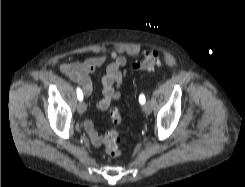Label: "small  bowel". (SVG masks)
Listing matches in <instances>:
<instances>
[{"mask_svg":"<svg viewBox=\"0 0 245 187\" xmlns=\"http://www.w3.org/2000/svg\"><path fill=\"white\" fill-rule=\"evenodd\" d=\"M106 55H96L81 62L63 63L60 65L61 72L71 81L81 85L86 96L92 93V82L90 74L107 62ZM129 59L116 51L110 53V61L106 66V71L102 76V97L97 102V107L101 110H107L110 104L120 99L119 89L124 84H129L128 77ZM92 144L99 147L103 144V136L95 129L94 122L87 119L84 122Z\"/></svg>","mask_w":245,"mask_h":187,"instance_id":"small-bowel-1","label":"small bowel"}]
</instances>
